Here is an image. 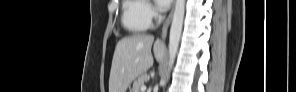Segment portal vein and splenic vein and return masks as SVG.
I'll use <instances>...</instances> for the list:
<instances>
[{
	"label": "portal vein and splenic vein",
	"mask_w": 296,
	"mask_h": 92,
	"mask_svg": "<svg viewBox=\"0 0 296 92\" xmlns=\"http://www.w3.org/2000/svg\"><path fill=\"white\" fill-rule=\"evenodd\" d=\"M145 90H146V86H145V85H142V86H141V91H142V92H145Z\"/></svg>",
	"instance_id": "obj_1"
}]
</instances>
